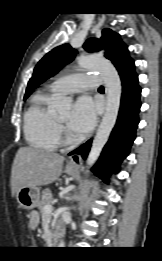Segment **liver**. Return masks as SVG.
<instances>
[{
	"instance_id": "6515ba94",
	"label": "liver",
	"mask_w": 162,
	"mask_h": 261,
	"mask_svg": "<svg viewBox=\"0 0 162 261\" xmlns=\"http://www.w3.org/2000/svg\"><path fill=\"white\" fill-rule=\"evenodd\" d=\"M65 158L57 153L31 147L17 151L11 170L12 196L24 186L38 187L56 181Z\"/></svg>"
}]
</instances>
